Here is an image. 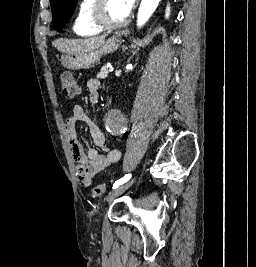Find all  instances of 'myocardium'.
Masks as SVG:
<instances>
[{
  "label": "myocardium",
  "mask_w": 256,
  "mask_h": 267,
  "mask_svg": "<svg viewBox=\"0 0 256 267\" xmlns=\"http://www.w3.org/2000/svg\"><path fill=\"white\" fill-rule=\"evenodd\" d=\"M110 1L112 0H95L94 8L91 13V19L93 24L102 31H113L116 28L120 27L112 26L106 20L105 11L107 9V4Z\"/></svg>",
  "instance_id": "1"
}]
</instances>
